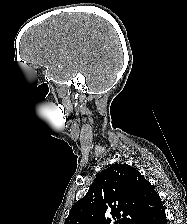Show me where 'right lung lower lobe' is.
I'll use <instances>...</instances> for the list:
<instances>
[{"mask_svg": "<svg viewBox=\"0 0 187 224\" xmlns=\"http://www.w3.org/2000/svg\"><path fill=\"white\" fill-rule=\"evenodd\" d=\"M143 224H166L165 211L159 217L152 219L148 222H144Z\"/></svg>", "mask_w": 187, "mask_h": 224, "instance_id": "98d812e1", "label": "right lung lower lobe"}]
</instances>
